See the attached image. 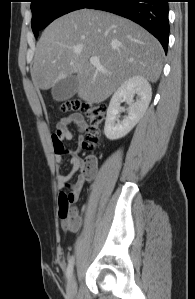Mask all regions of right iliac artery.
Wrapping results in <instances>:
<instances>
[{
	"instance_id": "obj_1",
	"label": "right iliac artery",
	"mask_w": 195,
	"mask_h": 299,
	"mask_svg": "<svg viewBox=\"0 0 195 299\" xmlns=\"http://www.w3.org/2000/svg\"><path fill=\"white\" fill-rule=\"evenodd\" d=\"M73 263H74V259L71 258V260L69 261L68 267H67V271H66V277H67L68 280H70V278L72 276Z\"/></svg>"
}]
</instances>
